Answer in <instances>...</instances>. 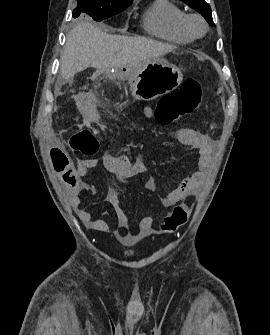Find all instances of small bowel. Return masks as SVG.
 I'll return each mask as SVG.
<instances>
[{
    "mask_svg": "<svg viewBox=\"0 0 270 335\" xmlns=\"http://www.w3.org/2000/svg\"><path fill=\"white\" fill-rule=\"evenodd\" d=\"M189 145L197 150L198 170L186 176L180 185L173 191L159 195L161 203L164 207H171L179 202H182L192 196L200 188L204 182L208 165L211 159L214 143L213 140L204 134L193 133L190 136ZM47 150L50 154H46V161H50L53 167V172L57 173L58 178H63L66 183L70 195L71 206L77 214L78 218L84 225L93 231L110 232L111 226L104 219H95L91 213L81 208L80 193L89 188L83 181L89 170L97 165L96 159H85L78 161L73 157V154H63L59 144H48ZM104 164L108 171L114 174L119 180H126L134 176L147 172L146 164L141 161L132 162L128 156L124 154H105L103 156ZM146 188L158 194L156 181L153 178H148L145 182ZM106 200L113 208L117 220V230L113 233L123 235L129 230V219L125 210L121 206L120 194L114 188H109L106 193ZM154 219L151 216H146L140 220L138 228L140 232H147L153 226Z\"/></svg>",
    "mask_w": 270,
    "mask_h": 335,
    "instance_id": "c3829d8e",
    "label": "small bowel"
}]
</instances>
